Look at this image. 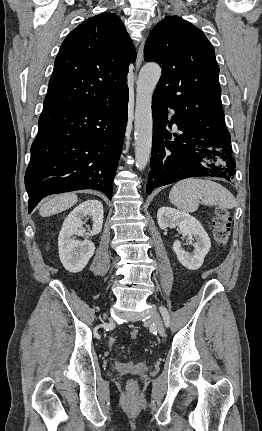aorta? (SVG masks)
I'll use <instances>...</instances> for the list:
<instances>
[{"label": "aorta", "instance_id": "aorta-1", "mask_svg": "<svg viewBox=\"0 0 262 431\" xmlns=\"http://www.w3.org/2000/svg\"><path fill=\"white\" fill-rule=\"evenodd\" d=\"M161 76V67L156 63L144 65L137 79L135 107V160L142 171L150 158L152 147V96Z\"/></svg>", "mask_w": 262, "mask_h": 431}]
</instances>
